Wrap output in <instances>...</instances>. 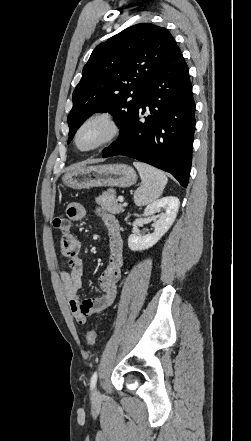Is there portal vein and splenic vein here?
Here are the masks:
<instances>
[{
  "instance_id": "1",
  "label": "portal vein and splenic vein",
  "mask_w": 251,
  "mask_h": 441,
  "mask_svg": "<svg viewBox=\"0 0 251 441\" xmlns=\"http://www.w3.org/2000/svg\"><path fill=\"white\" fill-rule=\"evenodd\" d=\"M118 201H119V202H123V201H124V198H123L122 196H119V197H118Z\"/></svg>"
}]
</instances>
